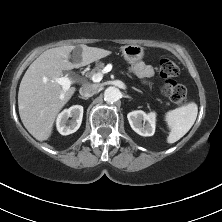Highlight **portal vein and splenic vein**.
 Segmentation results:
<instances>
[{
  "label": "portal vein and splenic vein",
  "instance_id": "obj_1",
  "mask_svg": "<svg viewBox=\"0 0 222 222\" xmlns=\"http://www.w3.org/2000/svg\"><path fill=\"white\" fill-rule=\"evenodd\" d=\"M107 72L108 71L106 70H102V72L94 74L91 77V80L95 83L100 82L103 78V74ZM55 82L62 86L63 91H67L73 83V81L67 76L56 78Z\"/></svg>",
  "mask_w": 222,
  "mask_h": 222
}]
</instances>
